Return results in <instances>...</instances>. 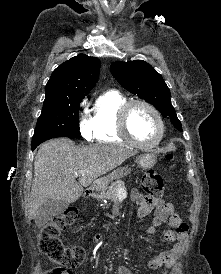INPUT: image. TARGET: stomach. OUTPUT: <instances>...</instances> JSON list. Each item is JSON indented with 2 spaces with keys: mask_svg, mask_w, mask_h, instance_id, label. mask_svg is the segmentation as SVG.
<instances>
[{
  "mask_svg": "<svg viewBox=\"0 0 221 274\" xmlns=\"http://www.w3.org/2000/svg\"><path fill=\"white\" fill-rule=\"evenodd\" d=\"M155 162H156V156L155 154L151 152H144L137 158L138 165L143 169L152 167L155 164ZM128 173H129V169L127 167L118 168L114 170L112 173H110L107 177L102 179L98 185V188L104 192L110 181L114 179H120L126 176Z\"/></svg>",
  "mask_w": 221,
  "mask_h": 274,
  "instance_id": "obj_1",
  "label": "stomach"
}]
</instances>
